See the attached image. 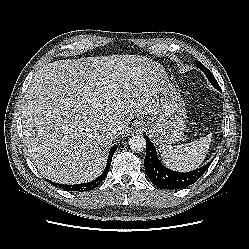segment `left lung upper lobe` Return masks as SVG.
Listing matches in <instances>:
<instances>
[{
    "label": "left lung upper lobe",
    "instance_id": "obj_1",
    "mask_svg": "<svg viewBox=\"0 0 249 249\" xmlns=\"http://www.w3.org/2000/svg\"><path fill=\"white\" fill-rule=\"evenodd\" d=\"M196 65L205 73V75L207 76V78L209 79V81L211 82V84L219 91H221V88L218 84V82L216 81L215 77L213 76V74L199 61H196Z\"/></svg>",
    "mask_w": 249,
    "mask_h": 249
}]
</instances>
